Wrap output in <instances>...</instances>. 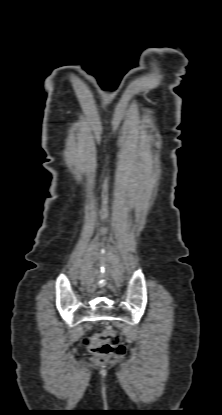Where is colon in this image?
<instances>
[{
	"instance_id": "5ec220e1",
	"label": "colon",
	"mask_w": 222,
	"mask_h": 415,
	"mask_svg": "<svg viewBox=\"0 0 222 415\" xmlns=\"http://www.w3.org/2000/svg\"><path fill=\"white\" fill-rule=\"evenodd\" d=\"M82 345L102 361L112 360L124 355L126 348L112 329H104L97 334L86 336Z\"/></svg>"
}]
</instances>
